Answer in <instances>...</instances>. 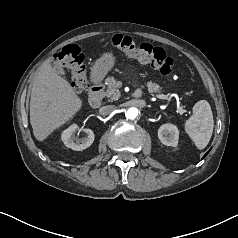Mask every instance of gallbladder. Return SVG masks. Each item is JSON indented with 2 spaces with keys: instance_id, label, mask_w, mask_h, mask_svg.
Returning a JSON list of instances; mask_svg holds the SVG:
<instances>
[{
  "instance_id": "1",
  "label": "gallbladder",
  "mask_w": 238,
  "mask_h": 238,
  "mask_svg": "<svg viewBox=\"0 0 238 238\" xmlns=\"http://www.w3.org/2000/svg\"><path fill=\"white\" fill-rule=\"evenodd\" d=\"M54 69L57 73L64 75V70L59 66H54Z\"/></svg>"
}]
</instances>
